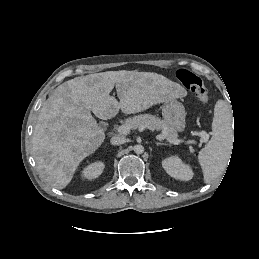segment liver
Here are the masks:
<instances>
[{
  "mask_svg": "<svg viewBox=\"0 0 259 259\" xmlns=\"http://www.w3.org/2000/svg\"><path fill=\"white\" fill-rule=\"evenodd\" d=\"M116 86L119 101L110 96ZM182 87L153 72L107 71L75 77L59 85L42 106L32 145L41 175L51 186L65 188L80 162L104 142L102 120L144 111L184 96Z\"/></svg>",
  "mask_w": 259,
  "mask_h": 259,
  "instance_id": "obj_1",
  "label": "liver"
}]
</instances>
